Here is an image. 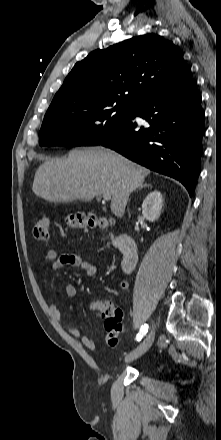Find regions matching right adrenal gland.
<instances>
[{"mask_svg": "<svg viewBox=\"0 0 221 440\" xmlns=\"http://www.w3.org/2000/svg\"><path fill=\"white\" fill-rule=\"evenodd\" d=\"M144 187L152 188V186H151L150 184L142 183V184L138 187V189H141V188H144Z\"/></svg>", "mask_w": 221, "mask_h": 440, "instance_id": "1", "label": "right adrenal gland"}]
</instances>
